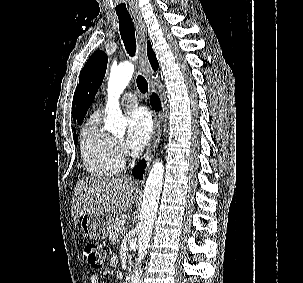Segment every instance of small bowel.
<instances>
[{
	"label": "small bowel",
	"instance_id": "c3829d8e",
	"mask_svg": "<svg viewBox=\"0 0 303 283\" xmlns=\"http://www.w3.org/2000/svg\"><path fill=\"white\" fill-rule=\"evenodd\" d=\"M116 263V257H113L111 259V264H115ZM90 283H100L99 277L97 275H92L90 277Z\"/></svg>",
	"mask_w": 303,
	"mask_h": 283
}]
</instances>
